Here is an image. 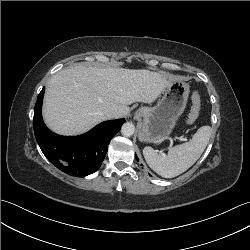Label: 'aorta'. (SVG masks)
I'll return each mask as SVG.
<instances>
[{"mask_svg": "<svg viewBox=\"0 0 250 250\" xmlns=\"http://www.w3.org/2000/svg\"><path fill=\"white\" fill-rule=\"evenodd\" d=\"M135 126L131 122H126L121 128V133L123 136L130 137L134 134Z\"/></svg>", "mask_w": 250, "mask_h": 250, "instance_id": "762f6f07", "label": "aorta"}]
</instances>
